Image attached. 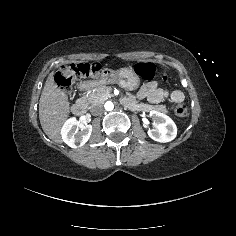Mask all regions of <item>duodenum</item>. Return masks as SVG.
<instances>
[{
  "label": "duodenum",
  "instance_id": "1",
  "mask_svg": "<svg viewBox=\"0 0 236 236\" xmlns=\"http://www.w3.org/2000/svg\"><path fill=\"white\" fill-rule=\"evenodd\" d=\"M95 82L93 81H84L79 84V90L85 91L93 87ZM71 111L75 115H83L86 112V104L82 99H77L71 106Z\"/></svg>",
  "mask_w": 236,
  "mask_h": 236
}]
</instances>
